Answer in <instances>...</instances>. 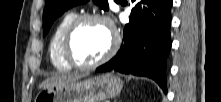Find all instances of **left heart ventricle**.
Here are the masks:
<instances>
[{"instance_id":"obj_1","label":"left heart ventricle","mask_w":221,"mask_h":102,"mask_svg":"<svg viewBox=\"0 0 221 102\" xmlns=\"http://www.w3.org/2000/svg\"><path fill=\"white\" fill-rule=\"evenodd\" d=\"M110 42L111 35L105 24L85 21L76 28L72 36L70 53L78 63H92L107 51Z\"/></svg>"}]
</instances>
